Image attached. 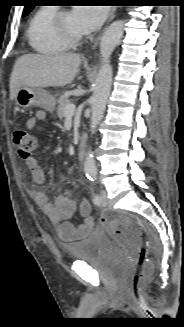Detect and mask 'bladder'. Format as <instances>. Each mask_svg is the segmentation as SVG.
<instances>
[{"mask_svg":"<svg viewBox=\"0 0 184 327\" xmlns=\"http://www.w3.org/2000/svg\"><path fill=\"white\" fill-rule=\"evenodd\" d=\"M66 250L76 262L91 263L104 252H112L125 262L119 252L114 250L109 236L100 230L91 231L86 238L68 244Z\"/></svg>","mask_w":184,"mask_h":327,"instance_id":"obj_1","label":"bladder"}]
</instances>
